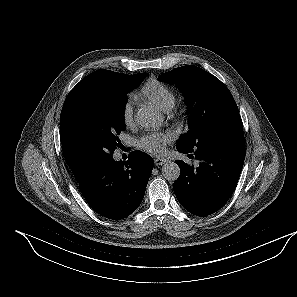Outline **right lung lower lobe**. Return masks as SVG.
Returning <instances> with one entry per match:
<instances>
[{
  "label": "right lung lower lobe",
  "instance_id": "1",
  "mask_svg": "<svg viewBox=\"0 0 297 297\" xmlns=\"http://www.w3.org/2000/svg\"><path fill=\"white\" fill-rule=\"evenodd\" d=\"M153 166V159L141 151L130 153L126 162L112 156L86 170L78 180L79 188L93 210L120 220L141 204Z\"/></svg>",
  "mask_w": 297,
  "mask_h": 297
}]
</instances>
